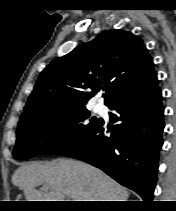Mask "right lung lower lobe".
<instances>
[{"mask_svg": "<svg viewBox=\"0 0 176 211\" xmlns=\"http://www.w3.org/2000/svg\"><path fill=\"white\" fill-rule=\"evenodd\" d=\"M156 83L146 93L110 107L119 115L110 129L104 122L91 130L78 144L57 154L83 160L102 169L120 184L151 201L157 181L159 150L162 147L164 108Z\"/></svg>", "mask_w": 176, "mask_h": 211, "instance_id": "right-lung-lower-lobe-1", "label": "right lung lower lobe"}]
</instances>
